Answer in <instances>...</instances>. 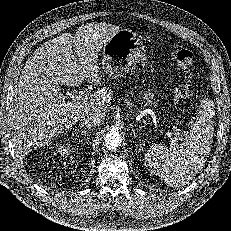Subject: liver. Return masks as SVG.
Listing matches in <instances>:
<instances>
[{"instance_id": "1", "label": "liver", "mask_w": 231, "mask_h": 231, "mask_svg": "<svg viewBox=\"0 0 231 231\" xmlns=\"http://www.w3.org/2000/svg\"><path fill=\"white\" fill-rule=\"evenodd\" d=\"M119 27L90 23L75 35L64 33L36 49L25 63L9 112L10 141L20 157L75 125L87 113L101 125L112 91L98 88L89 100L68 101L60 85L78 86L85 79L100 84L98 52ZM78 57V60L77 58Z\"/></svg>"}]
</instances>
